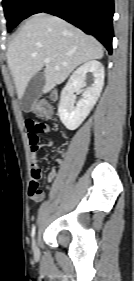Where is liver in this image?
I'll return each instance as SVG.
<instances>
[{"label": "liver", "mask_w": 134, "mask_h": 281, "mask_svg": "<svg viewBox=\"0 0 134 281\" xmlns=\"http://www.w3.org/2000/svg\"><path fill=\"white\" fill-rule=\"evenodd\" d=\"M102 45L92 36L63 19L45 13L31 16L11 41L7 63L15 81L18 98L31 78L45 65L44 93L62 83L80 64L101 59ZM46 58L50 59L45 63Z\"/></svg>", "instance_id": "liver-1"}]
</instances>
